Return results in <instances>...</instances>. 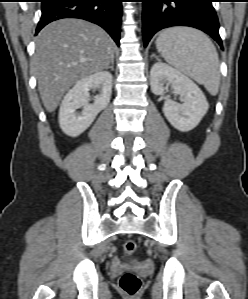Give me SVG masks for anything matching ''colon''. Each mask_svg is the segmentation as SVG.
<instances>
[{"label":"colon","mask_w":248,"mask_h":299,"mask_svg":"<svg viewBox=\"0 0 248 299\" xmlns=\"http://www.w3.org/2000/svg\"><path fill=\"white\" fill-rule=\"evenodd\" d=\"M136 247V241L133 239H128L124 243V251L128 255L134 253ZM119 287L125 295L135 296L140 291L141 280L135 273L126 272L119 279Z\"/></svg>","instance_id":"5ec220e1"}]
</instances>
